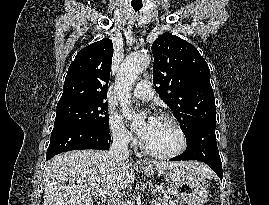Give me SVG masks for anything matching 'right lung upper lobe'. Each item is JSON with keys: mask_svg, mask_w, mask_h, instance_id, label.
Listing matches in <instances>:
<instances>
[{"mask_svg": "<svg viewBox=\"0 0 269 205\" xmlns=\"http://www.w3.org/2000/svg\"><path fill=\"white\" fill-rule=\"evenodd\" d=\"M113 44L108 38L81 49L71 63L57 106L107 98Z\"/></svg>", "mask_w": 269, "mask_h": 205, "instance_id": "right-lung-upper-lobe-1", "label": "right lung upper lobe"}]
</instances>
